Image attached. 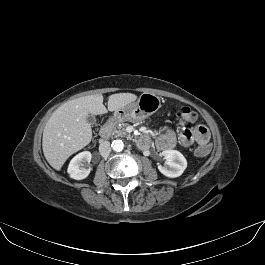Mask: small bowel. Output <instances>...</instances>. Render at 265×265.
<instances>
[{"mask_svg":"<svg viewBox=\"0 0 265 265\" xmlns=\"http://www.w3.org/2000/svg\"><path fill=\"white\" fill-rule=\"evenodd\" d=\"M149 140V137L146 136ZM176 135L168 128L162 129L159 137L157 138V147L161 150H168L176 145ZM209 141V133L205 126L196 125L193 129H183L180 133V142L184 146H190L194 142L199 145H206Z\"/></svg>","mask_w":265,"mask_h":265,"instance_id":"small-bowel-1","label":"small bowel"}]
</instances>
